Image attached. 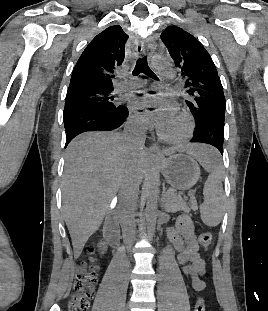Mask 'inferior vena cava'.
<instances>
[{"instance_id": "1", "label": "inferior vena cava", "mask_w": 268, "mask_h": 311, "mask_svg": "<svg viewBox=\"0 0 268 311\" xmlns=\"http://www.w3.org/2000/svg\"><path fill=\"white\" fill-rule=\"evenodd\" d=\"M124 137L135 145V150L140 149L141 142L136 140L127 133ZM138 197V189L132 184H126L120 192L119 215L120 224L126 244L131 245L135 241V209Z\"/></svg>"}]
</instances>
